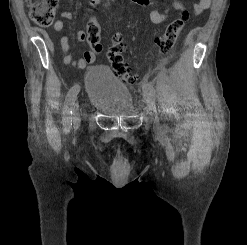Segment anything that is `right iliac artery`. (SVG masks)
<instances>
[{
  "label": "right iliac artery",
  "instance_id": "obj_1",
  "mask_svg": "<svg viewBox=\"0 0 247 245\" xmlns=\"http://www.w3.org/2000/svg\"><path fill=\"white\" fill-rule=\"evenodd\" d=\"M79 91H80V86L74 85L68 91L66 99H65L64 110H63V124L65 126V129L67 130L72 125V107L74 105V102L76 100V97Z\"/></svg>",
  "mask_w": 247,
  "mask_h": 245
}]
</instances>
